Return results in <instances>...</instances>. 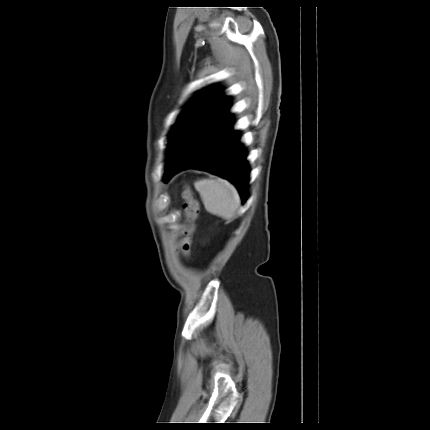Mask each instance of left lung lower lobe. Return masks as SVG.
Wrapping results in <instances>:
<instances>
[{
  "mask_svg": "<svg viewBox=\"0 0 430 430\" xmlns=\"http://www.w3.org/2000/svg\"><path fill=\"white\" fill-rule=\"evenodd\" d=\"M231 120L212 115L202 120L191 137L168 158L163 180L187 168L214 173L234 183L242 202L248 197L250 167L247 151Z\"/></svg>",
  "mask_w": 430,
  "mask_h": 430,
  "instance_id": "1",
  "label": "left lung lower lobe"
}]
</instances>
